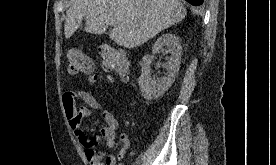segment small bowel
Here are the masks:
<instances>
[{"instance_id": "c3829d8e", "label": "small bowel", "mask_w": 276, "mask_h": 165, "mask_svg": "<svg viewBox=\"0 0 276 165\" xmlns=\"http://www.w3.org/2000/svg\"><path fill=\"white\" fill-rule=\"evenodd\" d=\"M82 100L86 106L76 107V101ZM63 109L69 125L74 132L79 143L85 148V154L90 165H122L118 159L129 148V138L125 133L119 135L118 141L122 148L119 155L113 153L105 154L96 151L94 145L97 139H89L82 129V123L90 116V109L99 112L106 123L100 130L99 138L102 139L109 149H114L117 145V129L119 122L115 115L106 110L102 104L89 92L78 89H69L62 96Z\"/></svg>"}]
</instances>
